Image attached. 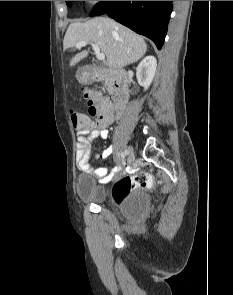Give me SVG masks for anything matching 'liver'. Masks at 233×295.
<instances>
[{
    "label": "liver",
    "instance_id": "1",
    "mask_svg": "<svg viewBox=\"0 0 233 295\" xmlns=\"http://www.w3.org/2000/svg\"><path fill=\"white\" fill-rule=\"evenodd\" d=\"M80 41L97 44L107 57L111 69L123 68L144 56L147 45L143 37L116 21L97 17L87 22L69 25L63 40V48H73ZM89 51L83 50L70 60V66L86 58Z\"/></svg>",
    "mask_w": 233,
    "mask_h": 295
}]
</instances>
